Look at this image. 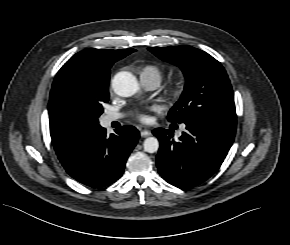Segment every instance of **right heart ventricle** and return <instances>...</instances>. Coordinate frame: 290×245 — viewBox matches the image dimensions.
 <instances>
[{"instance_id": "obj_1", "label": "right heart ventricle", "mask_w": 290, "mask_h": 245, "mask_svg": "<svg viewBox=\"0 0 290 245\" xmlns=\"http://www.w3.org/2000/svg\"><path fill=\"white\" fill-rule=\"evenodd\" d=\"M156 75L161 79V72L158 67L154 65H146L140 71V77Z\"/></svg>"}]
</instances>
